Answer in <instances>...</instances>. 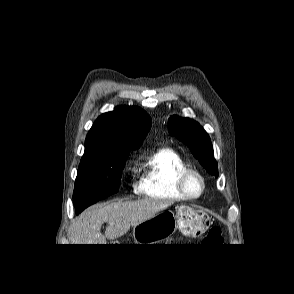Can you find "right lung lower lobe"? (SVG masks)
Listing matches in <instances>:
<instances>
[{"label": "right lung lower lobe", "mask_w": 294, "mask_h": 294, "mask_svg": "<svg viewBox=\"0 0 294 294\" xmlns=\"http://www.w3.org/2000/svg\"><path fill=\"white\" fill-rule=\"evenodd\" d=\"M82 210L78 209L76 210V213L79 214Z\"/></svg>", "instance_id": "98d812e1"}]
</instances>
